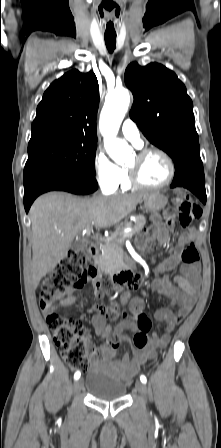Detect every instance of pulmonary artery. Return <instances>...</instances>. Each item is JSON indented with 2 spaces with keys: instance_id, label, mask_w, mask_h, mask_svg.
<instances>
[{
  "instance_id": "pulmonary-artery-1",
  "label": "pulmonary artery",
  "mask_w": 221,
  "mask_h": 448,
  "mask_svg": "<svg viewBox=\"0 0 221 448\" xmlns=\"http://www.w3.org/2000/svg\"><path fill=\"white\" fill-rule=\"evenodd\" d=\"M122 135L132 142L136 147H141L143 142L141 140L140 131L136 123L131 119H125L121 129Z\"/></svg>"
}]
</instances>
